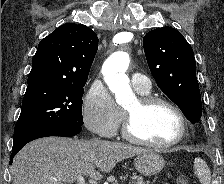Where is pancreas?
Segmentation results:
<instances>
[{
    "label": "pancreas",
    "instance_id": "1",
    "mask_svg": "<svg viewBox=\"0 0 224 184\" xmlns=\"http://www.w3.org/2000/svg\"><path fill=\"white\" fill-rule=\"evenodd\" d=\"M113 184H118V183L115 182ZM132 184H150V183L143 181V179H137L136 181H133Z\"/></svg>",
    "mask_w": 224,
    "mask_h": 184
}]
</instances>
